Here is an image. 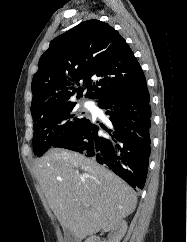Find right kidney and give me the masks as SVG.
<instances>
[{
    "label": "right kidney",
    "mask_w": 187,
    "mask_h": 242,
    "mask_svg": "<svg viewBox=\"0 0 187 242\" xmlns=\"http://www.w3.org/2000/svg\"><path fill=\"white\" fill-rule=\"evenodd\" d=\"M104 231H109L110 236L108 242H120L127 231V223L124 220H119L104 228ZM85 242H96V237L92 236Z\"/></svg>",
    "instance_id": "ca27d5eb"
}]
</instances>
